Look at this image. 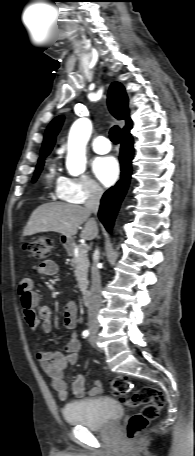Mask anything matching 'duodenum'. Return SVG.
Listing matches in <instances>:
<instances>
[{
	"label": "duodenum",
	"mask_w": 195,
	"mask_h": 456,
	"mask_svg": "<svg viewBox=\"0 0 195 456\" xmlns=\"http://www.w3.org/2000/svg\"><path fill=\"white\" fill-rule=\"evenodd\" d=\"M67 246L68 247H71V243L70 242H67ZM90 299H91V293L89 290H83L82 291V301L84 304L88 305L90 303Z\"/></svg>",
	"instance_id": "obj_1"
}]
</instances>
